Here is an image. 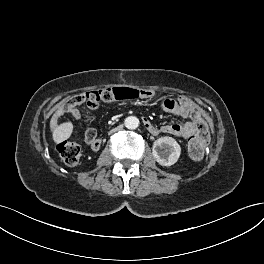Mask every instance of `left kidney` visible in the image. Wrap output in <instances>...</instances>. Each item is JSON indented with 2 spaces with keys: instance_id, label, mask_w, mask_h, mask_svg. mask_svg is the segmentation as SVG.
Masks as SVG:
<instances>
[{
  "instance_id": "obj_1",
  "label": "left kidney",
  "mask_w": 264,
  "mask_h": 264,
  "mask_svg": "<svg viewBox=\"0 0 264 264\" xmlns=\"http://www.w3.org/2000/svg\"><path fill=\"white\" fill-rule=\"evenodd\" d=\"M152 155L160 165L171 166L178 161L181 147L172 137H160L153 143Z\"/></svg>"
}]
</instances>
